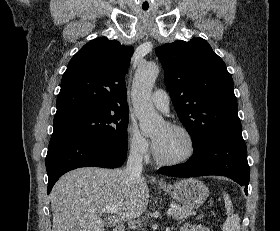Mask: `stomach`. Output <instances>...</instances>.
Returning a JSON list of instances; mask_svg holds the SVG:
<instances>
[{
    "instance_id": "obj_1",
    "label": "stomach",
    "mask_w": 280,
    "mask_h": 231,
    "mask_svg": "<svg viewBox=\"0 0 280 231\" xmlns=\"http://www.w3.org/2000/svg\"><path fill=\"white\" fill-rule=\"evenodd\" d=\"M164 191H168L175 201L182 203L185 207H200L206 201L209 195V189L199 181V179H179L173 185H166L163 187Z\"/></svg>"
}]
</instances>
